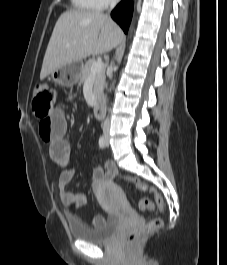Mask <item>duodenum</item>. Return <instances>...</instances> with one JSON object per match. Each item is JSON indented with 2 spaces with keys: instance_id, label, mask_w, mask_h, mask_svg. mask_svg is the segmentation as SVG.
Segmentation results:
<instances>
[{
  "instance_id": "410a0bca",
  "label": "duodenum",
  "mask_w": 227,
  "mask_h": 265,
  "mask_svg": "<svg viewBox=\"0 0 227 265\" xmlns=\"http://www.w3.org/2000/svg\"><path fill=\"white\" fill-rule=\"evenodd\" d=\"M93 114L97 119H102L104 116V105L101 100H97L93 105Z\"/></svg>"
}]
</instances>
